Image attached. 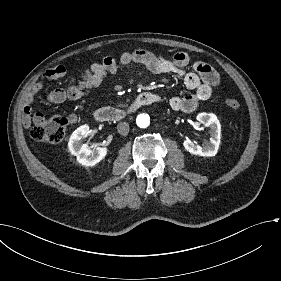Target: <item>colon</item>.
<instances>
[{
    "instance_id": "1",
    "label": "colon",
    "mask_w": 281,
    "mask_h": 281,
    "mask_svg": "<svg viewBox=\"0 0 281 281\" xmlns=\"http://www.w3.org/2000/svg\"><path fill=\"white\" fill-rule=\"evenodd\" d=\"M225 105L231 109H237L240 102L233 97L225 99ZM69 120L62 115L52 116L42 121L35 122L30 126V135L40 142L58 143L66 133Z\"/></svg>"
}]
</instances>
